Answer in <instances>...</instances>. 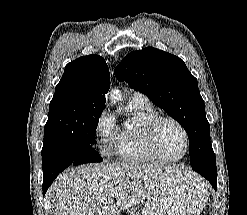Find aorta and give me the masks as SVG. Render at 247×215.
Here are the masks:
<instances>
[{
    "label": "aorta",
    "mask_w": 247,
    "mask_h": 215,
    "mask_svg": "<svg viewBox=\"0 0 247 215\" xmlns=\"http://www.w3.org/2000/svg\"><path fill=\"white\" fill-rule=\"evenodd\" d=\"M110 98L112 100H120L121 99V93H120V91L117 90V89L111 90Z\"/></svg>",
    "instance_id": "aorta-1"
}]
</instances>
